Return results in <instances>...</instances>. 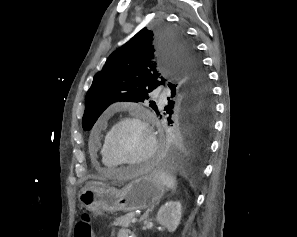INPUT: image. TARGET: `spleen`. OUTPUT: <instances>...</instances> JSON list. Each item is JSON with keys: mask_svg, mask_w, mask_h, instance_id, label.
<instances>
[{"mask_svg": "<svg viewBox=\"0 0 297 237\" xmlns=\"http://www.w3.org/2000/svg\"><path fill=\"white\" fill-rule=\"evenodd\" d=\"M155 175L159 178V180L167 187L172 190L176 189L177 180L176 177L172 176L171 174L163 171H158Z\"/></svg>", "mask_w": 297, "mask_h": 237, "instance_id": "1", "label": "spleen"}]
</instances>
